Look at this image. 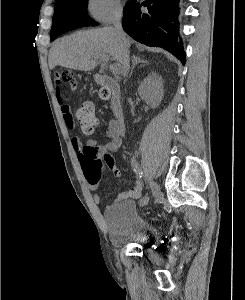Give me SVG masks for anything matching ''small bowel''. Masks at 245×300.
Returning <instances> with one entry per match:
<instances>
[{
  "label": "small bowel",
  "instance_id": "small-bowel-1",
  "mask_svg": "<svg viewBox=\"0 0 245 300\" xmlns=\"http://www.w3.org/2000/svg\"><path fill=\"white\" fill-rule=\"evenodd\" d=\"M56 97L57 102L60 105V111L66 123V126L68 129L72 130L74 128L73 116L69 106L64 103L63 97L60 93V85L58 84H56ZM124 133V125L113 119L108 122L107 129L104 134V138L107 139L106 143L97 144L94 141L82 143L78 137L74 136L71 140V143L74 151L77 154L81 166L85 153L89 150H95L96 158L102 159L107 164L109 169L113 172L114 176L116 178H119L121 176V172L115 165L113 153L120 148ZM141 193L142 183L140 181H137L132 189L121 193L119 195V199L122 200L128 198H138ZM93 200L95 203H99L101 201V196L99 194H94Z\"/></svg>",
  "mask_w": 245,
  "mask_h": 300
}]
</instances>
